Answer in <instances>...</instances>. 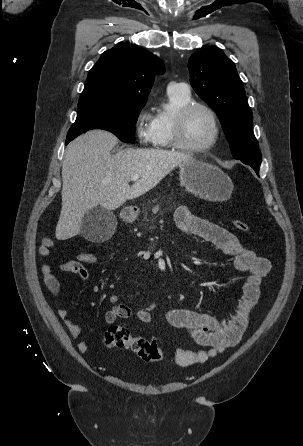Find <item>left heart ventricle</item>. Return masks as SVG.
Segmentation results:
<instances>
[{"label": "left heart ventricle", "mask_w": 303, "mask_h": 446, "mask_svg": "<svg viewBox=\"0 0 303 446\" xmlns=\"http://www.w3.org/2000/svg\"><path fill=\"white\" fill-rule=\"evenodd\" d=\"M213 136V125L209 115L202 109L194 110L187 118L184 140L191 146H203Z\"/></svg>", "instance_id": "1"}]
</instances>
